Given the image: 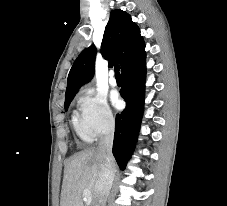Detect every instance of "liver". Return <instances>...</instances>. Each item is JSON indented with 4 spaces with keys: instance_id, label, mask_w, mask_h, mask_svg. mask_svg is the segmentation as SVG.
Segmentation results:
<instances>
[{
    "instance_id": "liver-1",
    "label": "liver",
    "mask_w": 227,
    "mask_h": 206,
    "mask_svg": "<svg viewBox=\"0 0 227 206\" xmlns=\"http://www.w3.org/2000/svg\"><path fill=\"white\" fill-rule=\"evenodd\" d=\"M101 164L102 156L98 148L86 149L71 159L64 172L60 206H84V190L91 192V206H96V183Z\"/></svg>"
}]
</instances>
